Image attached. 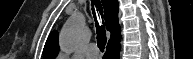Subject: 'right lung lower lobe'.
I'll use <instances>...</instances> for the list:
<instances>
[{
	"label": "right lung lower lobe",
	"instance_id": "right-lung-lower-lobe-1",
	"mask_svg": "<svg viewBox=\"0 0 193 59\" xmlns=\"http://www.w3.org/2000/svg\"><path fill=\"white\" fill-rule=\"evenodd\" d=\"M119 51H120V38L109 42L107 45V50L104 55V59H119Z\"/></svg>",
	"mask_w": 193,
	"mask_h": 59
}]
</instances>
